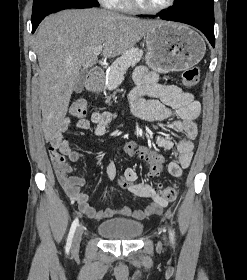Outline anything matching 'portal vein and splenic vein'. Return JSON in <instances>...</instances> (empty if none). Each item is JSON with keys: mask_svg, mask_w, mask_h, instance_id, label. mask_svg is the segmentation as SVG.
Masks as SVG:
<instances>
[{"mask_svg": "<svg viewBox=\"0 0 247 280\" xmlns=\"http://www.w3.org/2000/svg\"><path fill=\"white\" fill-rule=\"evenodd\" d=\"M103 46L100 45L93 50L94 55H99L102 52Z\"/></svg>", "mask_w": 247, "mask_h": 280, "instance_id": "portal-vein-and-splenic-vein-1", "label": "portal vein and splenic vein"}]
</instances>
